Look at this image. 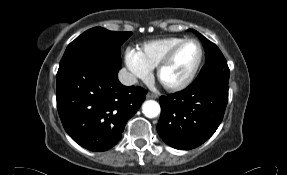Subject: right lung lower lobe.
Returning <instances> with one entry per match:
<instances>
[{
  "label": "right lung lower lobe",
  "mask_w": 287,
  "mask_h": 175,
  "mask_svg": "<svg viewBox=\"0 0 287 175\" xmlns=\"http://www.w3.org/2000/svg\"><path fill=\"white\" fill-rule=\"evenodd\" d=\"M119 69L85 61L57 72L61 122L68 135L88 150L101 152L116 145L128 119L145 100L146 90L119 82Z\"/></svg>",
  "instance_id": "right-lung-lower-lobe-1"
}]
</instances>
